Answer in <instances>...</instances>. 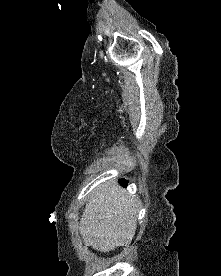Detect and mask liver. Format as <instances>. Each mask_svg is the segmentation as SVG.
I'll return each instance as SVG.
<instances>
[{
	"mask_svg": "<svg viewBox=\"0 0 221 276\" xmlns=\"http://www.w3.org/2000/svg\"><path fill=\"white\" fill-rule=\"evenodd\" d=\"M138 210L135 197L115 182L98 185L80 221L84 244L104 253L129 245L136 232Z\"/></svg>",
	"mask_w": 221,
	"mask_h": 276,
	"instance_id": "1",
	"label": "liver"
}]
</instances>
